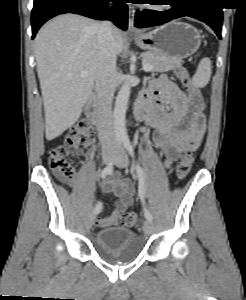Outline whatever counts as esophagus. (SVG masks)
<instances>
[{
    "instance_id": "esophagus-1",
    "label": "esophagus",
    "mask_w": 246,
    "mask_h": 300,
    "mask_svg": "<svg viewBox=\"0 0 246 300\" xmlns=\"http://www.w3.org/2000/svg\"><path fill=\"white\" fill-rule=\"evenodd\" d=\"M134 18H135V9L133 7H129L128 11V33L136 34L139 33L138 29L134 26Z\"/></svg>"
}]
</instances>
